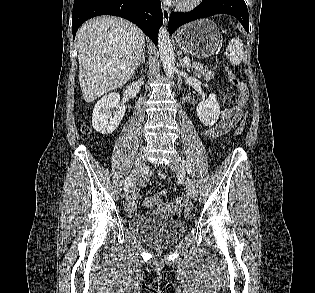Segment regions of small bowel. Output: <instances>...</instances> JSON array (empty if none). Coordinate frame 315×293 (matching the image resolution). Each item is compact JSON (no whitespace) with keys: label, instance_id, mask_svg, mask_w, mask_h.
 <instances>
[{"label":"small bowel","instance_id":"1","mask_svg":"<svg viewBox=\"0 0 315 293\" xmlns=\"http://www.w3.org/2000/svg\"><path fill=\"white\" fill-rule=\"evenodd\" d=\"M242 111L237 106H230L224 109L222 112L219 121L212 127L206 128L203 130V135L206 137H218L222 134L229 132L233 127H235L238 123V118H241ZM160 177H164L163 173H158ZM168 191L166 189L161 190L157 195L147 197L144 199V206L151 208L154 212H174V207L170 202L163 201L162 197L166 196ZM137 198V190L135 189L133 193V197L128 203L127 210L132 215H137L135 201ZM171 220L176 218L174 213L169 215Z\"/></svg>","mask_w":315,"mask_h":293}]
</instances>
